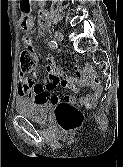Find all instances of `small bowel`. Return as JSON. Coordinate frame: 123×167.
<instances>
[{
    "label": "small bowel",
    "mask_w": 123,
    "mask_h": 167,
    "mask_svg": "<svg viewBox=\"0 0 123 167\" xmlns=\"http://www.w3.org/2000/svg\"><path fill=\"white\" fill-rule=\"evenodd\" d=\"M18 5H20L22 14L28 13V1H18ZM22 26L24 28H31L27 18L23 19ZM24 44L29 50L33 49V38L31 35L27 34L24 37ZM45 71V81L43 84L37 83L34 79L21 76L18 94L20 96L29 97L31 100L38 102L47 101L54 105L64 102L79 106L95 104L101 95L102 87L93 81L91 74L85 75L82 78L68 77L58 69L52 55L47 57ZM59 82H61L62 85L68 86L74 90H78L81 87H91L92 93L86 96H67L64 101H61L59 97L51 95L55 85Z\"/></svg>",
    "instance_id": "small-bowel-1"
}]
</instances>
